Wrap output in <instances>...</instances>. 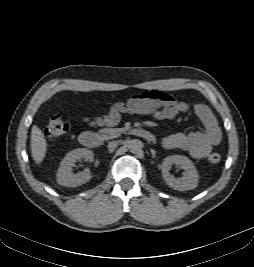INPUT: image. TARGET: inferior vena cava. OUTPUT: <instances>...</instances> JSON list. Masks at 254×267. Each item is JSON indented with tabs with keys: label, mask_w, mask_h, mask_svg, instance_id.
<instances>
[{
	"label": "inferior vena cava",
	"mask_w": 254,
	"mask_h": 267,
	"mask_svg": "<svg viewBox=\"0 0 254 267\" xmlns=\"http://www.w3.org/2000/svg\"><path fill=\"white\" fill-rule=\"evenodd\" d=\"M116 144H117L116 141H112V142H110V143L108 144V147H109V148H112V147H114Z\"/></svg>",
	"instance_id": "inferior-vena-cava-1"
}]
</instances>
